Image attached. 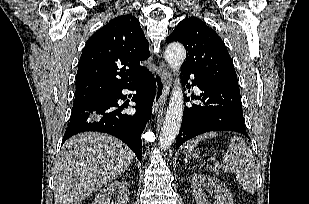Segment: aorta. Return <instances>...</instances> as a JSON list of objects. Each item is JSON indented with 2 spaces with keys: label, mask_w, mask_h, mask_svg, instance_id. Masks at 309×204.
<instances>
[{
  "label": "aorta",
  "mask_w": 309,
  "mask_h": 204,
  "mask_svg": "<svg viewBox=\"0 0 309 204\" xmlns=\"http://www.w3.org/2000/svg\"><path fill=\"white\" fill-rule=\"evenodd\" d=\"M186 56L185 48L180 43L169 44L165 50V58L173 72L178 74ZM184 111L183 91L180 79L176 78L172 96L164 118L159 136L160 149L166 150L175 140L182 122Z\"/></svg>",
  "instance_id": "obj_1"
}]
</instances>
